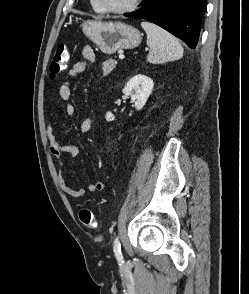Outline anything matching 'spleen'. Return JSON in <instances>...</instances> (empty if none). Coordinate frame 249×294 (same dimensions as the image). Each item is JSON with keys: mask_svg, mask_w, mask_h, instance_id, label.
<instances>
[{"mask_svg": "<svg viewBox=\"0 0 249 294\" xmlns=\"http://www.w3.org/2000/svg\"><path fill=\"white\" fill-rule=\"evenodd\" d=\"M141 26L147 34V45L150 47L147 60L150 63L160 64L182 58L183 48L173 35L147 21H143Z\"/></svg>", "mask_w": 249, "mask_h": 294, "instance_id": "1", "label": "spleen"}]
</instances>
